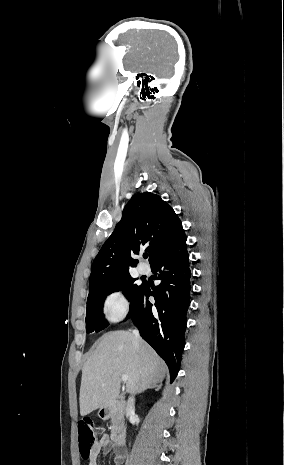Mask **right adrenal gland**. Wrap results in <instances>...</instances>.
<instances>
[{
    "label": "right adrenal gland",
    "mask_w": 284,
    "mask_h": 465,
    "mask_svg": "<svg viewBox=\"0 0 284 465\" xmlns=\"http://www.w3.org/2000/svg\"><path fill=\"white\" fill-rule=\"evenodd\" d=\"M155 387H157V389H155V391H158V389H161V385H155ZM146 389H152V387H146Z\"/></svg>",
    "instance_id": "1"
}]
</instances>
